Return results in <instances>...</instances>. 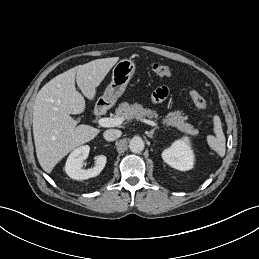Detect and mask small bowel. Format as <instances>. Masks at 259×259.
Wrapping results in <instances>:
<instances>
[{"label":"small bowel","mask_w":259,"mask_h":259,"mask_svg":"<svg viewBox=\"0 0 259 259\" xmlns=\"http://www.w3.org/2000/svg\"><path fill=\"white\" fill-rule=\"evenodd\" d=\"M168 94V89L166 87H161L156 90V92L153 94L154 101L158 102L164 99Z\"/></svg>","instance_id":"1"}]
</instances>
